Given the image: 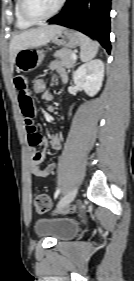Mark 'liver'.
Wrapping results in <instances>:
<instances>
[{"label":"liver","instance_id":"obj_1","mask_svg":"<svg viewBox=\"0 0 134 281\" xmlns=\"http://www.w3.org/2000/svg\"><path fill=\"white\" fill-rule=\"evenodd\" d=\"M62 28L58 25L41 26L15 35L11 39L9 47L11 70H13L15 56L18 51L46 45Z\"/></svg>","mask_w":134,"mask_h":281}]
</instances>
